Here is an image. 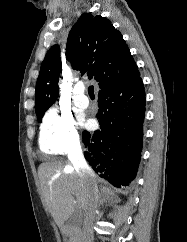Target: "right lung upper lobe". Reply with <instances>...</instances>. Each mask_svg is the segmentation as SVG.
<instances>
[{"instance_id": "obj_1", "label": "right lung upper lobe", "mask_w": 187, "mask_h": 242, "mask_svg": "<svg viewBox=\"0 0 187 242\" xmlns=\"http://www.w3.org/2000/svg\"><path fill=\"white\" fill-rule=\"evenodd\" d=\"M66 57L73 69L87 72L90 78L94 77L100 91L124 83L139 74L121 33L100 15H81L69 33ZM60 68V50L58 45H54L42 62L36 83L37 116L44 113L58 97Z\"/></svg>"}]
</instances>
